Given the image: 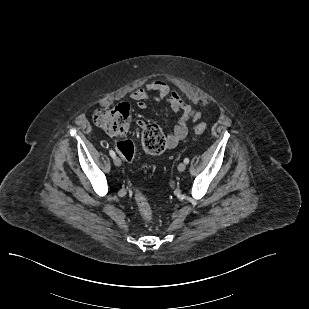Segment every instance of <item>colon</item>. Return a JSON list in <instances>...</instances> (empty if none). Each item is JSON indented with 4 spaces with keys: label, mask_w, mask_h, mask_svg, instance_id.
Listing matches in <instances>:
<instances>
[{
    "label": "colon",
    "mask_w": 309,
    "mask_h": 309,
    "mask_svg": "<svg viewBox=\"0 0 309 309\" xmlns=\"http://www.w3.org/2000/svg\"><path fill=\"white\" fill-rule=\"evenodd\" d=\"M95 124L109 135L118 137L116 149L126 162H132L135 154L133 140L128 136L131 120L129 109L125 105H119L111 109H99L94 113ZM141 145L145 153L149 155H159L166 150V137L156 124L140 125ZM206 125L201 123L195 127V132L200 134L206 130ZM135 201L138 211L145 222L152 219V209L145 197L139 190L134 191Z\"/></svg>",
    "instance_id": "obj_1"
}]
</instances>
